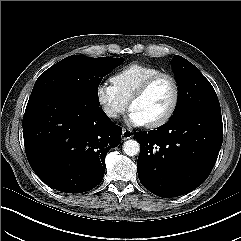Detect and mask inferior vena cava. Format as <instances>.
Returning <instances> with one entry per match:
<instances>
[{
	"mask_svg": "<svg viewBox=\"0 0 241 241\" xmlns=\"http://www.w3.org/2000/svg\"><path fill=\"white\" fill-rule=\"evenodd\" d=\"M106 114L109 116V117H112V118H116L117 117V113L112 110V109H108L106 110Z\"/></svg>",
	"mask_w": 241,
	"mask_h": 241,
	"instance_id": "obj_1",
	"label": "inferior vena cava"
}]
</instances>
